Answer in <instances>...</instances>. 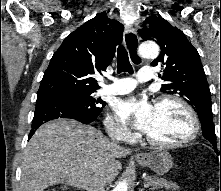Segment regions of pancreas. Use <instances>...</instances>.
Returning a JSON list of instances; mask_svg holds the SVG:
<instances>
[{
    "label": "pancreas",
    "instance_id": "1",
    "mask_svg": "<svg viewBox=\"0 0 221 191\" xmlns=\"http://www.w3.org/2000/svg\"><path fill=\"white\" fill-rule=\"evenodd\" d=\"M144 180L146 184L151 186L152 190L161 189V188H166L171 190L179 189V186L176 183L167 181L166 179L163 178H158L155 176H146Z\"/></svg>",
    "mask_w": 221,
    "mask_h": 191
}]
</instances>
